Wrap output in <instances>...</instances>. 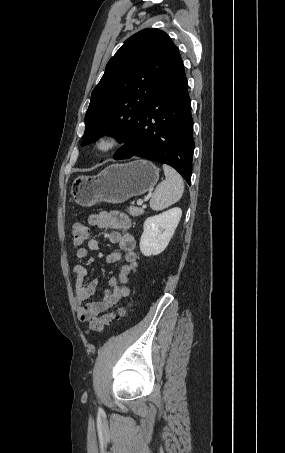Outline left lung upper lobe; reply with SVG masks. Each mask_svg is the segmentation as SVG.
I'll list each match as a JSON object with an SVG mask.
<instances>
[{"label":"left lung upper lobe","instance_id":"5c2ea615","mask_svg":"<svg viewBox=\"0 0 285 453\" xmlns=\"http://www.w3.org/2000/svg\"><path fill=\"white\" fill-rule=\"evenodd\" d=\"M177 52L171 38L159 29L147 28L128 38L92 91L81 145L105 133L124 142Z\"/></svg>","mask_w":285,"mask_h":453}]
</instances>
